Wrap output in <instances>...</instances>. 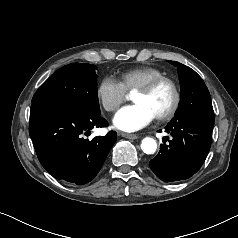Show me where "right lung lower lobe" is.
<instances>
[{"instance_id": "1", "label": "right lung lower lobe", "mask_w": 238, "mask_h": 238, "mask_svg": "<svg viewBox=\"0 0 238 238\" xmlns=\"http://www.w3.org/2000/svg\"><path fill=\"white\" fill-rule=\"evenodd\" d=\"M99 113L70 106L33 105L29 134L42 166L55 178L86 184L99 172L117 133L87 139L95 127H107Z\"/></svg>"}]
</instances>
